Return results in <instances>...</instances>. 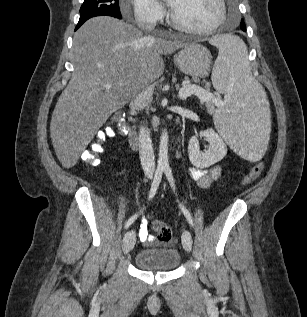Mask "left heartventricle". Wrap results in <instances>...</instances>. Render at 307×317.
I'll use <instances>...</instances> for the list:
<instances>
[{"mask_svg": "<svg viewBox=\"0 0 307 317\" xmlns=\"http://www.w3.org/2000/svg\"><path fill=\"white\" fill-rule=\"evenodd\" d=\"M175 17L185 26L206 28L219 16L217 0H168Z\"/></svg>", "mask_w": 307, "mask_h": 317, "instance_id": "b2bd125f", "label": "left heart ventricle"}]
</instances>
